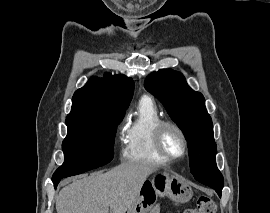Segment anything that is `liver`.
I'll return each instance as SVG.
<instances>
[{"mask_svg": "<svg viewBox=\"0 0 270 213\" xmlns=\"http://www.w3.org/2000/svg\"><path fill=\"white\" fill-rule=\"evenodd\" d=\"M157 166L123 163L106 173L82 176L63 187L56 197L57 213H125Z\"/></svg>", "mask_w": 270, "mask_h": 213, "instance_id": "1", "label": "liver"}]
</instances>
